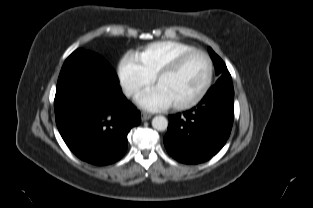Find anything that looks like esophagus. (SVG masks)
<instances>
[{
	"instance_id": "obj_1",
	"label": "esophagus",
	"mask_w": 313,
	"mask_h": 208,
	"mask_svg": "<svg viewBox=\"0 0 313 208\" xmlns=\"http://www.w3.org/2000/svg\"><path fill=\"white\" fill-rule=\"evenodd\" d=\"M151 117H152V115L149 114V113H147V112H142V113H141V119H142L143 121L149 120Z\"/></svg>"
}]
</instances>
